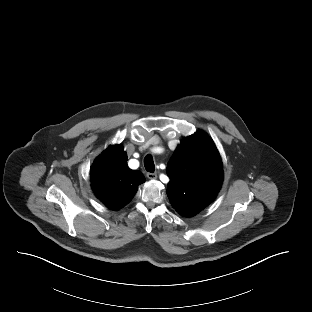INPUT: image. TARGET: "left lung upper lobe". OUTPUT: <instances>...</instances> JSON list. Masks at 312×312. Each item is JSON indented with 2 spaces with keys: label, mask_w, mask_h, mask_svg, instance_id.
Segmentation results:
<instances>
[{
  "label": "left lung upper lobe",
  "mask_w": 312,
  "mask_h": 312,
  "mask_svg": "<svg viewBox=\"0 0 312 312\" xmlns=\"http://www.w3.org/2000/svg\"><path fill=\"white\" fill-rule=\"evenodd\" d=\"M167 195L183 216L211 203L223 181L222 161L213 140L199 131L181 141L168 162Z\"/></svg>",
  "instance_id": "left-lung-upper-lobe-1"
}]
</instances>
